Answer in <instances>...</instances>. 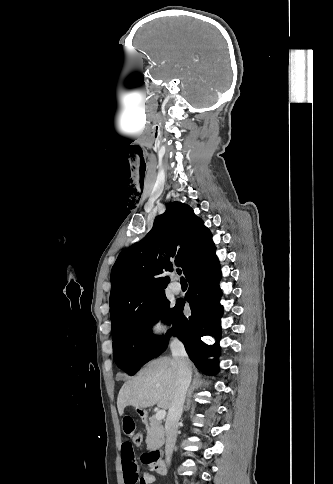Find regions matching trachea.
<instances>
[{"mask_svg": "<svg viewBox=\"0 0 333 484\" xmlns=\"http://www.w3.org/2000/svg\"><path fill=\"white\" fill-rule=\"evenodd\" d=\"M177 273H178L179 275H181V270H180V269H179V270H177ZM181 280H184V278H183V277H181Z\"/></svg>", "mask_w": 333, "mask_h": 484, "instance_id": "obj_1", "label": "trachea"}]
</instances>
